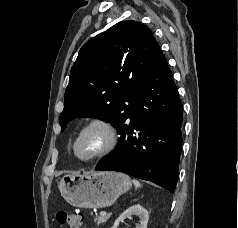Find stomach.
Returning <instances> with one entry per match:
<instances>
[{
    "label": "stomach",
    "instance_id": "1",
    "mask_svg": "<svg viewBox=\"0 0 238 228\" xmlns=\"http://www.w3.org/2000/svg\"><path fill=\"white\" fill-rule=\"evenodd\" d=\"M59 190L64 199L79 208H105L131 187L130 178L114 171L68 174L61 178Z\"/></svg>",
    "mask_w": 238,
    "mask_h": 228
}]
</instances>
